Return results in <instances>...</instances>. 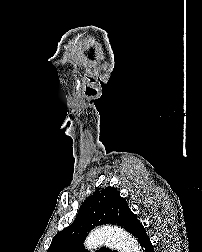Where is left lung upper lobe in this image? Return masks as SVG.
<instances>
[{
  "label": "left lung upper lobe",
  "mask_w": 202,
  "mask_h": 252,
  "mask_svg": "<svg viewBox=\"0 0 202 252\" xmlns=\"http://www.w3.org/2000/svg\"><path fill=\"white\" fill-rule=\"evenodd\" d=\"M137 222L125 198L115 188L106 187L102 191H95L85 200L73 223L55 235L47 252H88L84 249L83 241L93 228L112 224L132 233ZM97 252L112 251L102 247Z\"/></svg>",
  "instance_id": "5c2ea615"
}]
</instances>
